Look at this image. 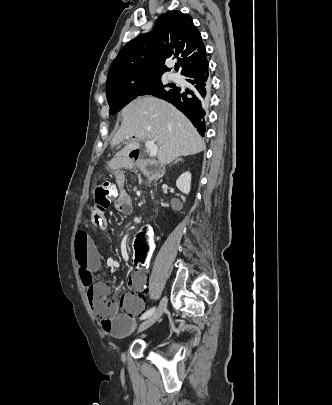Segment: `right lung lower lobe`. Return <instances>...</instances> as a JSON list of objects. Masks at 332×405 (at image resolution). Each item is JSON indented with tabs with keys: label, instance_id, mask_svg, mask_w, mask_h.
<instances>
[{
	"label": "right lung lower lobe",
	"instance_id": "right-lung-lower-lobe-1",
	"mask_svg": "<svg viewBox=\"0 0 332 405\" xmlns=\"http://www.w3.org/2000/svg\"><path fill=\"white\" fill-rule=\"evenodd\" d=\"M207 58L200 64L186 70L182 75L192 85L191 89L175 86L160 98L172 103L193 123L200 135L205 133L204 116L207 112L210 97V77Z\"/></svg>",
	"mask_w": 332,
	"mask_h": 405
}]
</instances>
